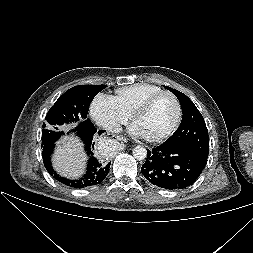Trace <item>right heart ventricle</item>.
Segmentation results:
<instances>
[{"mask_svg":"<svg viewBox=\"0 0 253 253\" xmlns=\"http://www.w3.org/2000/svg\"><path fill=\"white\" fill-rule=\"evenodd\" d=\"M160 91L162 88L157 85L139 83L117 89L113 99L119 109L130 117L144 100Z\"/></svg>","mask_w":253,"mask_h":253,"instance_id":"e07e8e85","label":"right heart ventricle"}]
</instances>
